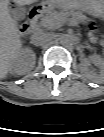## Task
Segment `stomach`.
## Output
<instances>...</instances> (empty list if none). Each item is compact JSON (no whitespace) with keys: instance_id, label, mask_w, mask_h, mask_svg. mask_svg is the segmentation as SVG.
Wrapping results in <instances>:
<instances>
[{"instance_id":"obj_1","label":"stomach","mask_w":104,"mask_h":137,"mask_svg":"<svg viewBox=\"0 0 104 137\" xmlns=\"http://www.w3.org/2000/svg\"><path fill=\"white\" fill-rule=\"evenodd\" d=\"M103 0H76L75 2L71 4L66 5H58L61 8H77L83 11H87L91 14H98L102 10L103 7Z\"/></svg>"}]
</instances>
